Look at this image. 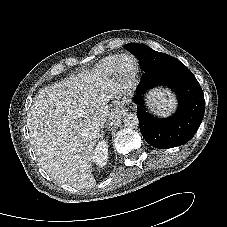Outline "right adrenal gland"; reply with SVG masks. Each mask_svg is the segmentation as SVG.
<instances>
[{"mask_svg":"<svg viewBox=\"0 0 227 227\" xmlns=\"http://www.w3.org/2000/svg\"><path fill=\"white\" fill-rule=\"evenodd\" d=\"M103 135H104V134H103V132L101 131V132L98 134V139H100V138L103 139Z\"/></svg>","mask_w":227,"mask_h":227,"instance_id":"right-adrenal-gland-1","label":"right adrenal gland"}]
</instances>
